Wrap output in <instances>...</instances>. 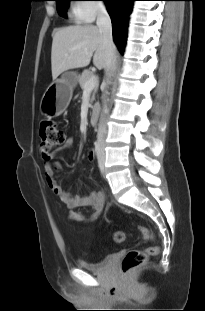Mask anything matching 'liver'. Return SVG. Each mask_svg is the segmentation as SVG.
<instances>
[{"label":"liver","mask_w":205,"mask_h":311,"mask_svg":"<svg viewBox=\"0 0 205 311\" xmlns=\"http://www.w3.org/2000/svg\"><path fill=\"white\" fill-rule=\"evenodd\" d=\"M92 56L95 67L105 68L106 49L98 27L86 24L56 30L51 49L53 79L69 69L88 66Z\"/></svg>","instance_id":"liver-1"}]
</instances>
